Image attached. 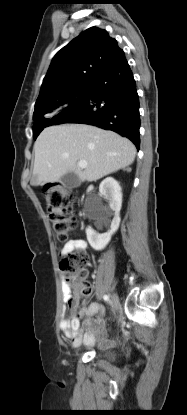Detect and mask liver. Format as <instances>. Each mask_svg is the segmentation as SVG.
Masks as SVG:
<instances>
[{
  "instance_id": "liver-1",
  "label": "liver",
  "mask_w": 187,
  "mask_h": 415,
  "mask_svg": "<svg viewBox=\"0 0 187 415\" xmlns=\"http://www.w3.org/2000/svg\"><path fill=\"white\" fill-rule=\"evenodd\" d=\"M32 186L57 182L68 172L81 181H96L131 165L136 148L127 138L84 124H63L44 129L34 144ZM85 160L86 168L78 162Z\"/></svg>"
}]
</instances>
